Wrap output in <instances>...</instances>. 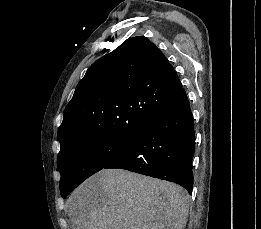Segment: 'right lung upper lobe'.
Segmentation results:
<instances>
[{
    "mask_svg": "<svg viewBox=\"0 0 261 229\" xmlns=\"http://www.w3.org/2000/svg\"><path fill=\"white\" fill-rule=\"evenodd\" d=\"M182 84L164 54L138 36L95 61L78 83L58 129L61 146L84 137H136Z\"/></svg>",
    "mask_w": 261,
    "mask_h": 229,
    "instance_id": "1",
    "label": "right lung upper lobe"
}]
</instances>
